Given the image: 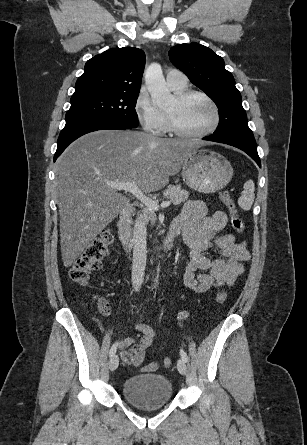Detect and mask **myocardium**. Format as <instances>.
<instances>
[{"mask_svg": "<svg viewBox=\"0 0 307 445\" xmlns=\"http://www.w3.org/2000/svg\"><path fill=\"white\" fill-rule=\"evenodd\" d=\"M173 97L177 102H185L193 97L201 98L202 100H204L205 102L210 104V106L213 108L215 119H214L213 125L210 128H208L207 130H204V131H201L198 133H192V132L183 130L175 122L173 117L164 111L166 125H167L168 130L177 136V137H169L168 139H203V138L213 134L214 132H216L219 129V127L221 126L222 111H221L219 105L217 104V102L213 98H211L209 95H207L203 92L197 91V90H184L182 92L175 93L173 95Z\"/></svg>", "mask_w": 307, "mask_h": 445, "instance_id": "f54148a6", "label": "myocardium"}]
</instances>
